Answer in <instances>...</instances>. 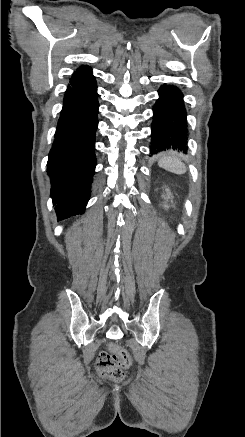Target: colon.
<instances>
[{"label": "colon", "instance_id": "1", "mask_svg": "<svg viewBox=\"0 0 245 437\" xmlns=\"http://www.w3.org/2000/svg\"><path fill=\"white\" fill-rule=\"evenodd\" d=\"M131 365L129 353L121 346L112 344L110 352H101L97 358V368L101 376L120 381L124 377V370Z\"/></svg>", "mask_w": 245, "mask_h": 437}]
</instances>
